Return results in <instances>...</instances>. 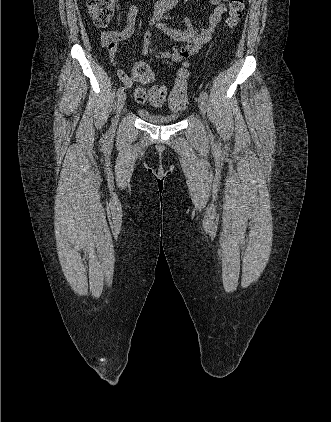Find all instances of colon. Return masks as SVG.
<instances>
[{"mask_svg":"<svg viewBox=\"0 0 331 422\" xmlns=\"http://www.w3.org/2000/svg\"><path fill=\"white\" fill-rule=\"evenodd\" d=\"M89 14L98 27H106L111 18L118 10V0H86ZM244 10V0H228V17L226 25L228 28H236L240 22ZM133 75L148 89L139 88L136 91L138 100L149 99L156 104H163L166 99V89L154 83V75L150 67L142 62L136 63L133 67ZM189 73L186 68L180 70L174 87L169 94L168 107L173 113H179L186 109L188 104L187 86Z\"/></svg>","mask_w":331,"mask_h":422,"instance_id":"5ec220e1","label":"colon"}]
</instances>
